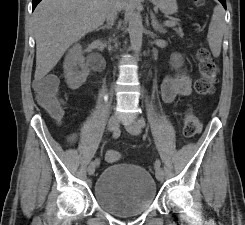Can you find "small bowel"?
<instances>
[{
  "label": "small bowel",
  "mask_w": 245,
  "mask_h": 225,
  "mask_svg": "<svg viewBox=\"0 0 245 225\" xmlns=\"http://www.w3.org/2000/svg\"><path fill=\"white\" fill-rule=\"evenodd\" d=\"M55 76L49 74L41 78L38 85H44L50 80H54ZM191 93V79L186 73H174L168 75L162 82L161 94L163 100L166 103H171L178 96H187ZM65 143L69 146H77L80 143L79 136L77 134H70L66 137ZM120 158V153L115 150H111L106 161L109 163H116Z\"/></svg>",
  "instance_id": "obj_1"
}]
</instances>
